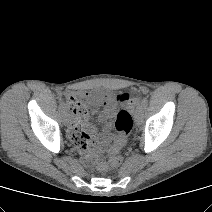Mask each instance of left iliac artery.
I'll list each match as a JSON object with an SVG mask.
<instances>
[{
    "mask_svg": "<svg viewBox=\"0 0 212 212\" xmlns=\"http://www.w3.org/2000/svg\"><path fill=\"white\" fill-rule=\"evenodd\" d=\"M141 104H142V106H143L144 108L147 107V105H148V99H147V97H144V98L142 99Z\"/></svg>",
    "mask_w": 212,
    "mask_h": 212,
    "instance_id": "obj_1",
    "label": "left iliac artery"
}]
</instances>
